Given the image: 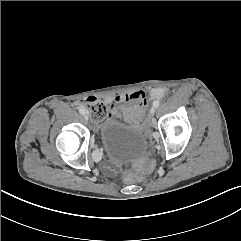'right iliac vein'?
I'll list each match as a JSON object with an SVG mask.
<instances>
[{
    "label": "right iliac vein",
    "instance_id": "63e3f726",
    "mask_svg": "<svg viewBox=\"0 0 241 241\" xmlns=\"http://www.w3.org/2000/svg\"><path fill=\"white\" fill-rule=\"evenodd\" d=\"M84 117L86 120H89V116L87 114H84ZM94 154H95V156H98V152H95Z\"/></svg>",
    "mask_w": 241,
    "mask_h": 241
}]
</instances>
